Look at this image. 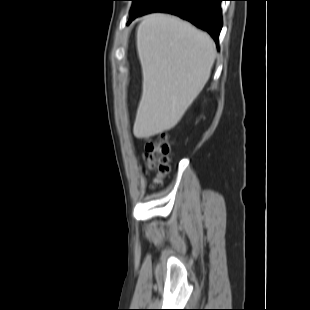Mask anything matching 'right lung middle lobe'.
<instances>
[{"instance_id": "obj_1", "label": "right lung middle lobe", "mask_w": 310, "mask_h": 310, "mask_svg": "<svg viewBox=\"0 0 310 310\" xmlns=\"http://www.w3.org/2000/svg\"><path fill=\"white\" fill-rule=\"evenodd\" d=\"M132 1H134V4L132 6L130 15L137 14L142 10L149 8L152 4H154L159 0H132Z\"/></svg>"}]
</instances>
